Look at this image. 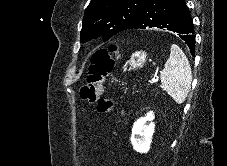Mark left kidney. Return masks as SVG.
Listing matches in <instances>:
<instances>
[{
    "label": "left kidney",
    "instance_id": "5707ae66",
    "mask_svg": "<svg viewBox=\"0 0 227 166\" xmlns=\"http://www.w3.org/2000/svg\"><path fill=\"white\" fill-rule=\"evenodd\" d=\"M154 118V113L150 111L145 117L134 122L130 140L135 151L140 153L149 151L155 129V124L152 122ZM147 121H150L149 125H147Z\"/></svg>",
    "mask_w": 227,
    "mask_h": 166
}]
</instances>
